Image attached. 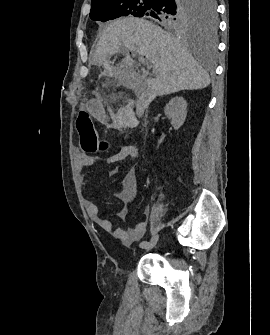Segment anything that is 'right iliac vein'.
<instances>
[{"mask_svg": "<svg viewBox=\"0 0 270 335\" xmlns=\"http://www.w3.org/2000/svg\"><path fill=\"white\" fill-rule=\"evenodd\" d=\"M158 240H159V235L156 234L151 238V240L149 241L148 246L144 247L142 249L146 250V251L152 249L157 244Z\"/></svg>", "mask_w": 270, "mask_h": 335, "instance_id": "obj_1", "label": "right iliac vein"}]
</instances>
